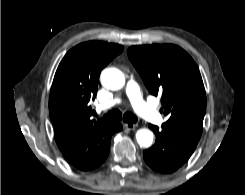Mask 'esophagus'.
I'll use <instances>...</instances> for the list:
<instances>
[{
	"mask_svg": "<svg viewBox=\"0 0 245 195\" xmlns=\"http://www.w3.org/2000/svg\"><path fill=\"white\" fill-rule=\"evenodd\" d=\"M124 126L129 130H134L138 127V124L135 123H125Z\"/></svg>",
	"mask_w": 245,
	"mask_h": 195,
	"instance_id": "34e87169",
	"label": "esophagus"
}]
</instances>
